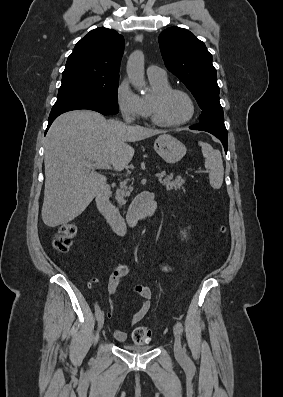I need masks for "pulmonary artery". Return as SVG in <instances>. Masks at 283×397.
<instances>
[{
    "mask_svg": "<svg viewBox=\"0 0 283 397\" xmlns=\"http://www.w3.org/2000/svg\"><path fill=\"white\" fill-rule=\"evenodd\" d=\"M147 75L149 78H157V79H164L166 78V72L155 65H151L147 69Z\"/></svg>",
    "mask_w": 283,
    "mask_h": 397,
    "instance_id": "pulmonary-artery-1",
    "label": "pulmonary artery"
}]
</instances>
